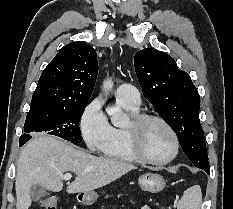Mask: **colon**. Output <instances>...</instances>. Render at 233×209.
I'll return each instance as SVG.
<instances>
[{"label":"colon","mask_w":233,"mask_h":209,"mask_svg":"<svg viewBox=\"0 0 233 209\" xmlns=\"http://www.w3.org/2000/svg\"><path fill=\"white\" fill-rule=\"evenodd\" d=\"M57 198L55 196H50L41 201V207L43 209H57Z\"/></svg>","instance_id":"5ec220e1"}]
</instances>
